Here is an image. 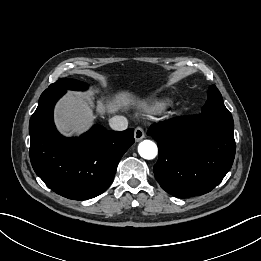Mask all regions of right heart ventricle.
Wrapping results in <instances>:
<instances>
[{
  "label": "right heart ventricle",
  "mask_w": 261,
  "mask_h": 261,
  "mask_svg": "<svg viewBox=\"0 0 261 261\" xmlns=\"http://www.w3.org/2000/svg\"><path fill=\"white\" fill-rule=\"evenodd\" d=\"M163 105H164V102L158 101V102H155V103L152 105V107H153V108H161Z\"/></svg>",
  "instance_id": "obj_1"
}]
</instances>
